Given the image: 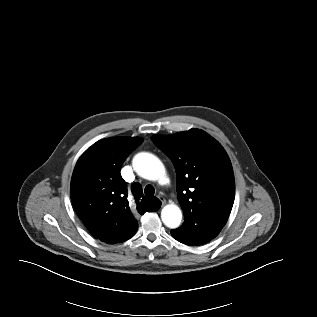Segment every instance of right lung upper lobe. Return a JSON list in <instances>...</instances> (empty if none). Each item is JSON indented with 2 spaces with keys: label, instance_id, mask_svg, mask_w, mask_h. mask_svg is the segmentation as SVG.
Instances as JSON below:
<instances>
[{
  "label": "right lung upper lobe",
  "instance_id": "right-lung-upper-lobe-1",
  "mask_svg": "<svg viewBox=\"0 0 317 317\" xmlns=\"http://www.w3.org/2000/svg\"><path fill=\"white\" fill-rule=\"evenodd\" d=\"M143 140L114 137L96 142L79 158L70 187V196L81 221L91 234L106 243H121L138 229L137 214L155 212L161 202L146 198L138 183L131 191L120 174L128 155ZM129 192L132 197L127 199Z\"/></svg>",
  "mask_w": 317,
  "mask_h": 317
}]
</instances>
